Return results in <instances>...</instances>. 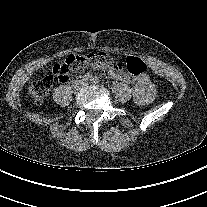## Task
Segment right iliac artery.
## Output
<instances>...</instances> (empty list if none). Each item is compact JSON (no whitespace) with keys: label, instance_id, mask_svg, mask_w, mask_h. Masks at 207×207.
<instances>
[{"label":"right iliac artery","instance_id":"obj_1","mask_svg":"<svg viewBox=\"0 0 207 207\" xmlns=\"http://www.w3.org/2000/svg\"><path fill=\"white\" fill-rule=\"evenodd\" d=\"M92 79V75L87 73L83 76V81L87 82L90 81Z\"/></svg>","mask_w":207,"mask_h":207}]
</instances>
